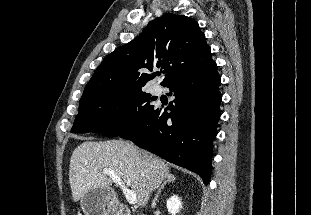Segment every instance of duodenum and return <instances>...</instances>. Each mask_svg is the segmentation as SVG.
<instances>
[{
	"mask_svg": "<svg viewBox=\"0 0 311 215\" xmlns=\"http://www.w3.org/2000/svg\"><path fill=\"white\" fill-rule=\"evenodd\" d=\"M115 215H132L130 210L126 206H118L115 210ZM143 215V214H139Z\"/></svg>",
	"mask_w": 311,
	"mask_h": 215,
	"instance_id": "410a0bca",
	"label": "duodenum"
}]
</instances>
